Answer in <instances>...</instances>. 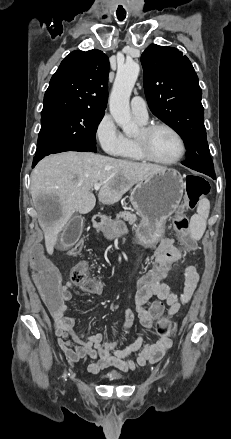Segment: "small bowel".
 Wrapping results in <instances>:
<instances>
[{"label":"small bowel","instance_id":"obj_1","mask_svg":"<svg viewBox=\"0 0 231 439\" xmlns=\"http://www.w3.org/2000/svg\"><path fill=\"white\" fill-rule=\"evenodd\" d=\"M175 255H180V250L172 241L164 239L157 247L154 264L160 263L162 258L174 257ZM198 281L199 276L195 267L188 266L185 269L184 287L180 294L171 290V283H141L133 293L134 310L130 308L123 310L122 331L127 332L137 316L141 327L153 332L155 320L160 318L164 312L163 302L167 305V313L170 316L175 315L191 300ZM74 287V282L59 283L57 293L61 295V306L58 313H51L58 344L71 361L78 362L87 357L95 360L88 366V371L93 374H97L107 367L128 371L134 370L138 366L158 362L171 348L172 340L170 338L146 341L142 335H139L130 345L118 348L120 343L118 339L110 340L102 333L87 335L79 331L77 320L66 316L67 302L72 298ZM151 298H158L159 301L146 308L145 305Z\"/></svg>","mask_w":231,"mask_h":439}]
</instances>
